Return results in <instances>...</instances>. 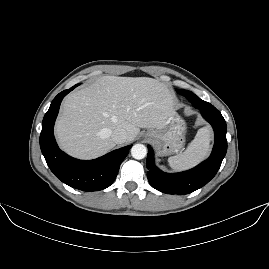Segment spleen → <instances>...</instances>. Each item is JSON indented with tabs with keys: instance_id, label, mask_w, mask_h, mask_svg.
I'll return each mask as SVG.
<instances>
[{
	"instance_id": "3e777b00",
	"label": "spleen",
	"mask_w": 269,
	"mask_h": 269,
	"mask_svg": "<svg viewBox=\"0 0 269 269\" xmlns=\"http://www.w3.org/2000/svg\"><path fill=\"white\" fill-rule=\"evenodd\" d=\"M211 139L212 129L210 125L200 128L185 152L169 157L170 167L175 171H180L199 163L208 156Z\"/></svg>"
}]
</instances>
